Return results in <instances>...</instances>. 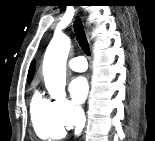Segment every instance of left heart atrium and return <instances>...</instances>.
<instances>
[{
  "instance_id": "39dd6f15",
  "label": "left heart atrium",
  "mask_w": 155,
  "mask_h": 141,
  "mask_svg": "<svg viewBox=\"0 0 155 141\" xmlns=\"http://www.w3.org/2000/svg\"><path fill=\"white\" fill-rule=\"evenodd\" d=\"M69 90L73 100L76 103L80 104L84 102L89 91V86L86 78L80 76L73 79L70 83Z\"/></svg>"
}]
</instances>
